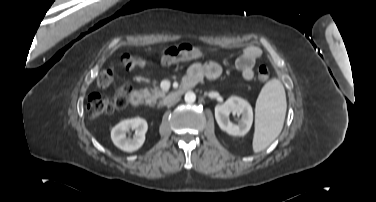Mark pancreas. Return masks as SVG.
<instances>
[{"label": "pancreas", "instance_id": "obj_1", "mask_svg": "<svg viewBox=\"0 0 376 202\" xmlns=\"http://www.w3.org/2000/svg\"><path fill=\"white\" fill-rule=\"evenodd\" d=\"M165 96L166 92L164 90H161L158 87H154L151 90V93H147V103H156L158 99L164 98Z\"/></svg>", "mask_w": 376, "mask_h": 202}]
</instances>
